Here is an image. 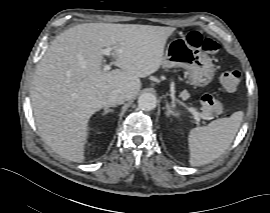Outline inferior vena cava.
Instances as JSON below:
<instances>
[{
    "mask_svg": "<svg viewBox=\"0 0 270 213\" xmlns=\"http://www.w3.org/2000/svg\"><path fill=\"white\" fill-rule=\"evenodd\" d=\"M127 100L126 94L121 90H113L108 95V103L110 106H115L118 104H122Z\"/></svg>",
    "mask_w": 270,
    "mask_h": 213,
    "instance_id": "1",
    "label": "inferior vena cava"
}]
</instances>
